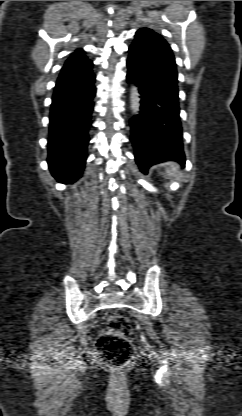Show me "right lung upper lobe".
Returning <instances> with one entry per match:
<instances>
[{
    "mask_svg": "<svg viewBox=\"0 0 242 416\" xmlns=\"http://www.w3.org/2000/svg\"><path fill=\"white\" fill-rule=\"evenodd\" d=\"M92 62L84 55L82 49L76 50L65 62L61 75L79 77L91 69Z\"/></svg>",
    "mask_w": 242,
    "mask_h": 416,
    "instance_id": "cb5924a9",
    "label": "right lung upper lobe"
}]
</instances>
